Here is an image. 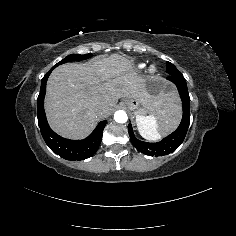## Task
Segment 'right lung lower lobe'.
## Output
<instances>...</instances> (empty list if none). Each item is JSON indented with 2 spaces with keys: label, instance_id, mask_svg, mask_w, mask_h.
Masks as SVG:
<instances>
[{
  "label": "right lung lower lobe",
  "instance_id": "1",
  "mask_svg": "<svg viewBox=\"0 0 236 236\" xmlns=\"http://www.w3.org/2000/svg\"><path fill=\"white\" fill-rule=\"evenodd\" d=\"M54 68L46 73L41 81L40 93L37 98L38 125L49 148L66 160H84L95 154L102 140L103 129L107 121H101L95 130L83 140H69L57 135L48 125L44 112V97L47 79Z\"/></svg>",
  "mask_w": 236,
  "mask_h": 236
}]
</instances>
